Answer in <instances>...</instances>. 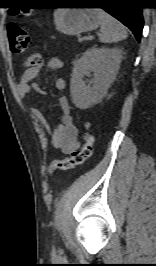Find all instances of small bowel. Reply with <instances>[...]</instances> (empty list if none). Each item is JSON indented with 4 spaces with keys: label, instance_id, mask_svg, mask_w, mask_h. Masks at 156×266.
<instances>
[{
    "label": "small bowel",
    "instance_id": "obj_1",
    "mask_svg": "<svg viewBox=\"0 0 156 266\" xmlns=\"http://www.w3.org/2000/svg\"><path fill=\"white\" fill-rule=\"evenodd\" d=\"M61 67L62 61L57 57H52L36 67L25 70L18 85L20 95L28 96L33 91L44 94L45 92L36 83H34L33 80L42 70H57ZM55 87L58 90L64 89V79L60 77L57 78L55 80ZM57 102L60 109V122L56 125L53 132L50 131V127L38 107H30V112L40 122L49 136L50 146L61 150L65 154H71L79 148V141L77 138L78 131L73 124L68 99L65 96H59Z\"/></svg>",
    "mask_w": 156,
    "mask_h": 266
}]
</instances>
